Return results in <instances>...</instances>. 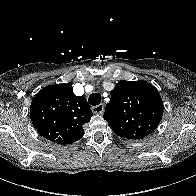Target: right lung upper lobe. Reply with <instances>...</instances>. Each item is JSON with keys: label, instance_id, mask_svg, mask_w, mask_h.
Listing matches in <instances>:
<instances>
[{"label": "right lung upper lobe", "instance_id": "right-lung-upper-lobe-1", "mask_svg": "<svg viewBox=\"0 0 196 196\" xmlns=\"http://www.w3.org/2000/svg\"><path fill=\"white\" fill-rule=\"evenodd\" d=\"M93 115L87 100L73 93L71 83L51 85L32 100L30 118L37 132L57 144H71L84 135Z\"/></svg>", "mask_w": 196, "mask_h": 196}]
</instances>
